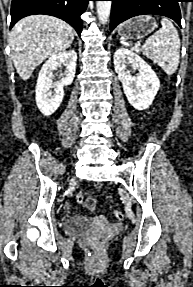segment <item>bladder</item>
<instances>
[{
  "mask_svg": "<svg viewBox=\"0 0 193 287\" xmlns=\"http://www.w3.org/2000/svg\"><path fill=\"white\" fill-rule=\"evenodd\" d=\"M95 226V221L80 214H71L66 218L64 228L67 233L78 234Z\"/></svg>",
  "mask_w": 193,
  "mask_h": 287,
  "instance_id": "1",
  "label": "bladder"
}]
</instances>
